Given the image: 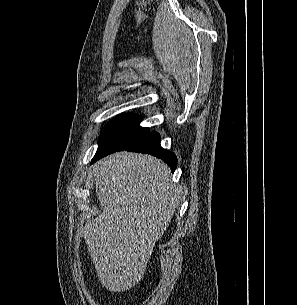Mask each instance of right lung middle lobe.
<instances>
[{
    "label": "right lung middle lobe",
    "mask_w": 297,
    "mask_h": 305,
    "mask_svg": "<svg viewBox=\"0 0 297 305\" xmlns=\"http://www.w3.org/2000/svg\"><path fill=\"white\" fill-rule=\"evenodd\" d=\"M141 120L138 115H120L113 119L102 130L98 150L125 147L141 139L150 132L139 126Z\"/></svg>",
    "instance_id": "1"
}]
</instances>
